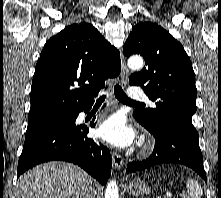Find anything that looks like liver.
Instances as JSON below:
<instances>
[{"label":"liver","instance_id":"1","mask_svg":"<svg viewBox=\"0 0 221 198\" xmlns=\"http://www.w3.org/2000/svg\"><path fill=\"white\" fill-rule=\"evenodd\" d=\"M91 177L65 162L38 165L23 174L12 198H87Z\"/></svg>","mask_w":221,"mask_h":198}]
</instances>
